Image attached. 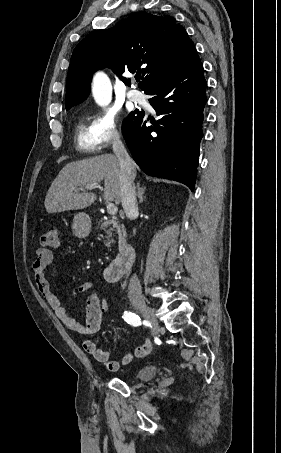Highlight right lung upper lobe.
Instances as JSON below:
<instances>
[{
	"label": "right lung upper lobe",
	"mask_w": 281,
	"mask_h": 453,
	"mask_svg": "<svg viewBox=\"0 0 281 453\" xmlns=\"http://www.w3.org/2000/svg\"><path fill=\"white\" fill-rule=\"evenodd\" d=\"M195 52L186 30L170 16L142 11L113 28L93 31L73 51L65 107L88 97L92 74L98 69L109 67L118 76L138 70L142 73L139 87L145 90ZM121 79L130 84L129 79Z\"/></svg>",
	"instance_id": "1"
}]
</instances>
